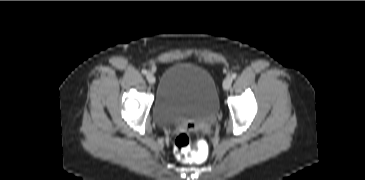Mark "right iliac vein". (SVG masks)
Masks as SVG:
<instances>
[{
    "label": "right iliac vein",
    "mask_w": 365,
    "mask_h": 180,
    "mask_svg": "<svg viewBox=\"0 0 365 180\" xmlns=\"http://www.w3.org/2000/svg\"><path fill=\"white\" fill-rule=\"evenodd\" d=\"M146 78L150 84H155L156 78L152 73H148Z\"/></svg>",
    "instance_id": "1"
}]
</instances>
